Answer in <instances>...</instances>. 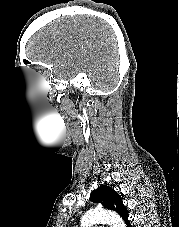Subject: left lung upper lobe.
<instances>
[{
    "label": "left lung upper lobe",
    "mask_w": 179,
    "mask_h": 227,
    "mask_svg": "<svg viewBox=\"0 0 179 227\" xmlns=\"http://www.w3.org/2000/svg\"><path fill=\"white\" fill-rule=\"evenodd\" d=\"M90 200L94 203H102L103 207L117 212L125 223H128V212L123 205L119 194L109 186L101 185L91 192Z\"/></svg>",
    "instance_id": "1"
}]
</instances>
